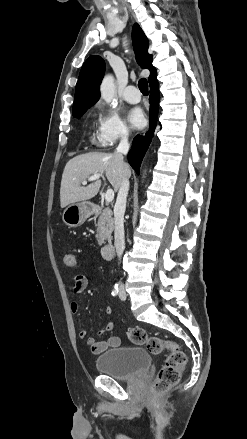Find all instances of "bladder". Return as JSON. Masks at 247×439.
<instances>
[{
  "mask_svg": "<svg viewBox=\"0 0 247 439\" xmlns=\"http://www.w3.org/2000/svg\"><path fill=\"white\" fill-rule=\"evenodd\" d=\"M150 354L138 347H118L103 352L96 358L98 372L118 380H134L151 365Z\"/></svg>",
  "mask_w": 247,
  "mask_h": 439,
  "instance_id": "31cf9c89",
  "label": "bladder"
}]
</instances>
